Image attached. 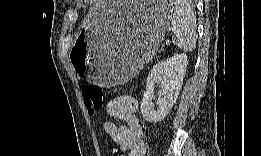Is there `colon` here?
Masks as SVG:
<instances>
[{"instance_id": "5ec220e1", "label": "colon", "mask_w": 261, "mask_h": 156, "mask_svg": "<svg viewBox=\"0 0 261 156\" xmlns=\"http://www.w3.org/2000/svg\"><path fill=\"white\" fill-rule=\"evenodd\" d=\"M84 102L90 113L100 111L104 105L102 89L95 84H87L82 90Z\"/></svg>"}]
</instances>
